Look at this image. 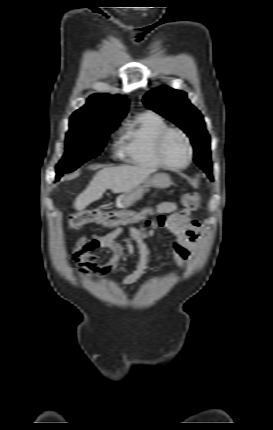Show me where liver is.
I'll return each instance as SVG.
<instances>
[{
	"mask_svg": "<svg viewBox=\"0 0 273 430\" xmlns=\"http://www.w3.org/2000/svg\"><path fill=\"white\" fill-rule=\"evenodd\" d=\"M154 172V169L145 166L122 165L104 168L96 173L87 188L77 196L74 208L78 211L85 209L100 199L107 189H111L113 193L129 192Z\"/></svg>",
	"mask_w": 273,
	"mask_h": 430,
	"instance_id": "1",
	"label": "liver"
}]
</instances>
